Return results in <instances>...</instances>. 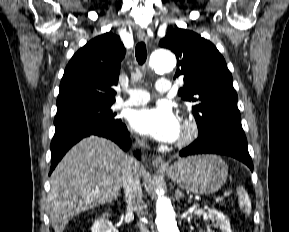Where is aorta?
Returning <instances> with one entry per match:
<instances>
[{
	"instance_id": "1",
	"label": "aorta",
	"mask_w": 289,
	"mask_h": 232,
	"mask_svg": "<svg viewBox=\"0 0 289 232\" xmlns=\"http://www.w3.org/2000/svg\"><path fill=\"white\" fill-rule=\"evenodd\" d=\"M149 65L155 72L168 73L175 68L176 59L171 52L164 49H157L152 52ZM157 194L155 222L158 232H179L171 201L162 195L161 192L158 191Z\"/></svg>"
}]
</instances>
